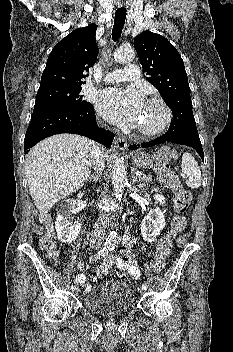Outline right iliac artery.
I'll return each mask as SVG.
<instances>
[{"instance_id": "1", "label": "right iliac artery", "mask_w": 233, "mask_h": 352, "mask_svg": "<svg viewBox=\"0 0 233 352\" xmlns=\"http://www.w3.org/2000/svg\"><path fill=\"white\" fill-rule=\"evenodd\" d=\"M110 246H105L103 249H101L95 256L94 259H101V257H103L105 254H107L110 250ZM71 289L74 291L76 289V286L72 285Z\"/></svg>"}]
</instances>
